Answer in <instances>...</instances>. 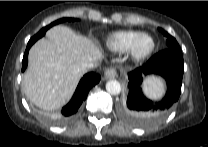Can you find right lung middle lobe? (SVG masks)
<instances>
[{
  "mask_svg": "<svg viewBox=\"0 0 208 147\" xmlns=\"http://www.w3.org/2000/svg\"><path fill=\"white\" fill-rule=\"evenodd\" d=\"M77 19H74V18H61V19H58L54 22H52L51 24H49L48 26L42 28L36 35H44L45 32L52 26L56 25V24H59V23H62V22H65V21H75Z\"/></svg>",
  "mask_w": 208,
  "mask_h": 147,
  "instance_id": "dd1d6c3e",
  "label": "right lung middle lobe"
}]
</instances>
